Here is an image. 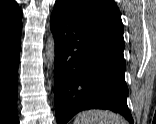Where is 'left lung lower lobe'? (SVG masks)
<instances>
[{
    "label": "left lung lower lobe",
    "instance_id": "obj_1",
    "mask_svg": "<svg viewBox=\"0 0 156 124\" xmlns=\"http://www.w3.org/2000/svg\"><path fill=\"white\" fill-rule=\"evenodd\" d=\"M50 26L55 39L57 124L87 109L111 110L133 124L126 101L124 41L76 21L57 4Z\"/></svg>",
    "mask_w": 156,
    "mask_h": 124
}]
</instances>
